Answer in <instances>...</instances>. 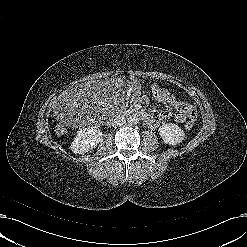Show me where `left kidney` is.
Listing matches in <instances>:
<instances>
[{
    "instance_id": "obj_1",
    "label": "left kidney",
    "mask_w": 247,
    "mask_h": 247,
    "mask_svg": "<svg viewBox=\"0 0 247 247\" xmlns=\"http://www.w3.org/2000/svg\"><path fill=\"white\" fill-rule=\"evenodd\" d=\"M158 131L164 143L168 145H177L185 138L184 131L174 123L164 124Z\"/></svg>"
}]
</instances>
